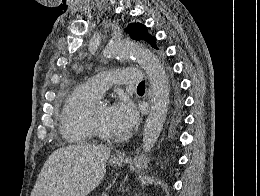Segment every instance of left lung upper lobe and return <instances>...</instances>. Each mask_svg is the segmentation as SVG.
Masks as SVG:
<instances>
[{"label": "left lung upper lobe", "mask_w": 260, "mask_h": 196, "mask_svg": "<svg viewBox=\"0 0 260 196\" xmlns=\"http://www.w3.org/2000/svg\"><path fill=\"white\" fill-rule=\"evenodd\" d=\"M125 32L128 33L132 39L144 40L153 48L159 49L156 45L155 37L147 32L145 25L141 23L129 24ZM182 107L183 100L180 94L179 84L172 78L169 83L168 110L161 138V144L166 148L176 143L178 127L182 121Z\"/></svg>", "instance_id": "5c2ea615"}]
</instances>
